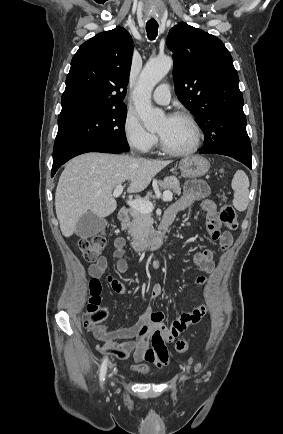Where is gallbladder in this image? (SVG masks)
<instances>
[{"label": "gallbladder", "mask_w": 283, "mask_h": 434, "mask_svg": "<svg viewBox=\"0 0 283 434\" xmlns=\"http://www.w3.org/2000/svg\"><path fill=\"white\" fill-rule=\"evenodd\" d=\"M106 225L107 221L104 218L87 212L77 222L75 233L81 238H88L103 231Z\"/></svg>", "instance_id": "gallbladder-1"}]
</instances>
